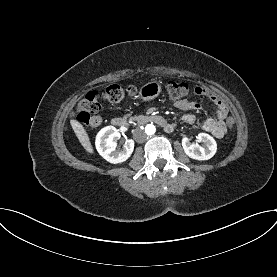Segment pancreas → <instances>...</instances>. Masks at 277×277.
Here are the masks:
<instances>
[{"mask_svg":"<svg viewBox=\"0 0 277 277\" xmlns=\"http://www.w3.org/2000/svg\"><path fill=\"white\" fill-rule=\"evenodd\" d=\"M136 119H137V117H131V118H130L131 121H134V120H136Z\"/></svg>","mask_w":277,"mask_h":277,"instance_id":"obj_1","label":"pancreas"}]
</instances>
